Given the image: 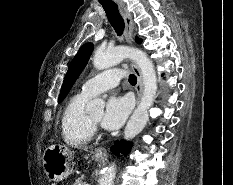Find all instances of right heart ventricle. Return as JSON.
Instances as JSON below:
<instances>
[{
  "label": "right heart ventricle",
  "instance_id": "e07e8e85",
  "mask_svg": "<svg viewBox=\"0 0 233 185\" xmlns=\"http://www.w3.org/2000/svg\"><path fill=\"white\" fill-rule=\"evenodd\" d=\"M88 96L78 93L74 95L64 108L61 118V129L64 141L72 147L87 145L94 133L85 112V104Z\"/></svg>",
  "mask_w": 233,
  "mask_h": 185
}]
</instances>
